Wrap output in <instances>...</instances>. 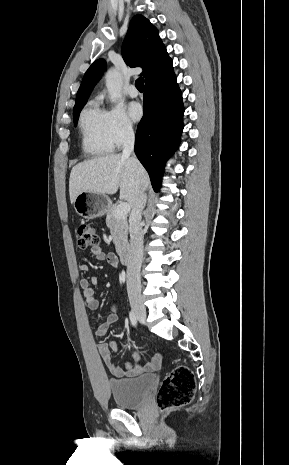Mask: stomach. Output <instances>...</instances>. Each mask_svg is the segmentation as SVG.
<instances>
[{
    "mask_svg": "<svg viewBox=\"0 0 289 465\" xmlns=\"http://www.w3.org/2000/svg\"><path fill=\"white\" fill-rule=\"evenodd\" d=\"M75 212L86 220L104 215L111 206L110 198L105 194L81 192L73 202Z\"/></svg>",
    "mask_w": 289,
    "mask_h": 465,
    "instance_id": "1",
    "label": "stomach"
}]
</instances>
